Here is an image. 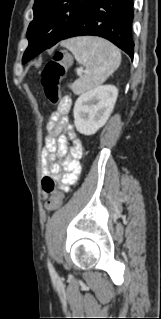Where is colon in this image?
<instances>
[{"label":"colon","instance_id":"5ec220e1","mask_svg":"<svg viewBox=\"0 0 161 319\" xmlns=\"http://www.w3.org/2000/svg\"><path fill=\"white\" fill-rule=\"evenodd\" d=\"M68 56L62 52L56 53L45 65L40 73V85L44 95L52 104H60L65 113H68L69 106L60 100L58 86L60 80L65 74ZM42 189L45 193L50 194L48 208L55 210L60 208L63 196L56 189V182L51 177H45L42 181Z\"/></svg>","mask_w":161,"mask_h":319}]
</instances>
